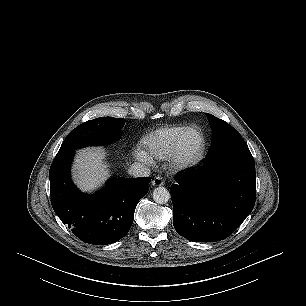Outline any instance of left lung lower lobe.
<instances>
[{"mask_svg": "<svg viewBox=\"0 0 306 306\" xmlns=\"http://www.w3.org/2000/svg\"><path fill=\"white\" fill-rule=\"evenodd\" d=\"M172 186L173 225L190 241L215 242L230 236L252 211L256 173L249 148L209 156Z\"/></svg>", "mask_w": 306, "mask_h": 306, "instance_id": "obj_1", "label": "left lung lower lobe"}]
</instances>
